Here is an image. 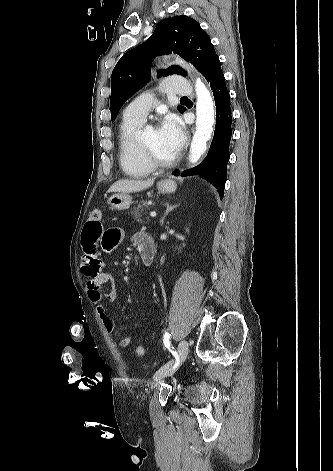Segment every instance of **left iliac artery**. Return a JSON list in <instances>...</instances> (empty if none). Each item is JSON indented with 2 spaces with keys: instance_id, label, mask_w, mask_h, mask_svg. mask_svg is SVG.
Segmentation results:
<instances>
[{
  "instance_id": "left-iliac-artery-1",
  "label": "left iliac artery",
  "mask_w": 333,
  "mask_h": 471,
  "mask_svg": "<svg viewBox=\"0 0 333 471\" xmlns=\"http://www.w3.org/2000/svg\"><path fill=\"white\" fill-rule=\"evenodd\" d=\"M170 336H171V334H170L169 332H166V333L164 334V337H163V343H164V345L169 349V351H171V353L174 355V357H175V359H176V362H175V365H174L170 370H168V371L175 370V369L177 368V366H178V354H177V352L174 351V350L172 349V347H171V344H170V341H169ZM164 369H165V368H164ZM162 371H163V369H162Z\"/></svg>"
}]
</instances>
